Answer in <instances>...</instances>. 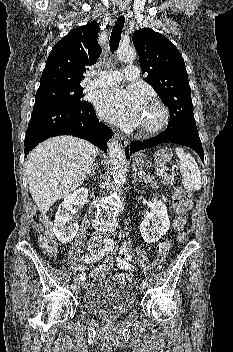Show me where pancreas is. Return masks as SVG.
<instances>
[{"label":"pancreas","mask_w":233,"mask_h":352,"mask_svg":"<svg viewBox=\"0 0 233 352\" xmlns=\"http://www.w3.org/2000/svg\"><path fill=\"white\" fill-rule=\"evenodd\" d=\"M143 180H144L146 183H150L152 187L158 188L157 183H154V182L152 181V178H151V177H149V176H144V177H143Z\"/></svg>","instance_id":"1"}]
</instances>
